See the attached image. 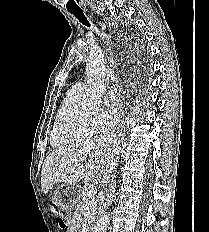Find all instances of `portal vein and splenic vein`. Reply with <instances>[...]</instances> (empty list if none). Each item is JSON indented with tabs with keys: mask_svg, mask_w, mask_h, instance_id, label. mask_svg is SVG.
Segmentation results:
<instances>
[{
	"mask_svg": "<svg viewBox=\"0 0 209 232\" xmlns=\"http://www.w3.org/2000/svg\"><path fill=\"white\" fill-rule=\"evenodd\" d=\"M96 193H97L96 187L92 185L87 191L88 199H94Z\"/></svg>",
	"mask_w": 209,
	"mask_h": 232,
	"instance_id": "obj_1",
	"label": "portal vein and splenic vein"
}]
</instances>
